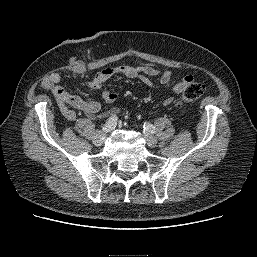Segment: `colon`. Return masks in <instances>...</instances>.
<instances>
[{
	"mask_svg": "<svg viewBox=\"0 0 257 257\" xmlns=\"http://www.w3.org/2000/svg\"><path fill=\"white\" fill-rule=\"evenodd\" d=\"M52 82L47 79L44 82V86L50 88ZM205 91V87L203 84L199 82L189 81L185 86L181 93V96L175 101V106H181L184 103L194 102L200 99Z\"/></svg>",
	"mask_w": 257,
	"mask_h": 257,
	"instance_id": "5ec220e1",
	"label": "colon"
}]
</instances>
